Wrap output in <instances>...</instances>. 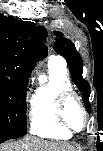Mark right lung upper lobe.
I'll list each match as a JSON object with an SVG mask.
<instances>
[{"instance_id": "cb5924a9", "label": "right lung upper lobe", "mask_w": 103, "mask_h": 151, "mask_svg": "<svg viewBox=\"0 0 103 151\" xmlns=\"http://www.w3.org/2000/svg\"><path fill=\"white\" fill-rule=\"evenodd\" d=\"M47 31L33 22L0 17V73L28 80L36 62L47 55Z\"/></svg>"}]
</instances>
